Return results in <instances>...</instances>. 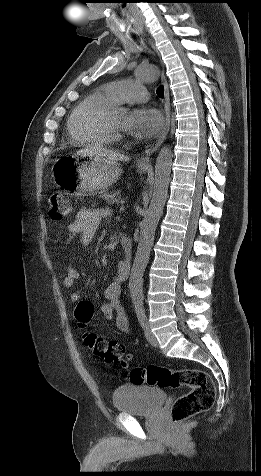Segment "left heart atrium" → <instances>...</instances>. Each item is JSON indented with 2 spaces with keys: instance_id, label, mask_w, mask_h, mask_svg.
I'll use <instances>...</instances> for the list:
<instances>
[{
  "instance_id": "1",
  "label": "left heart atrium",
  "mask_w": 261,
  "mask_h": 476,
  "mask_svg": "<svg viewBox=\"0 0 261 476\" xmlns=\"http://www.w3.org/2000/svg\"><path fill=\"white\" fill-rule=\"evenodd\" d=\"M162 123L163 118L158 110L141 107L129 113L124 129L138 137H151L159 131Z\"/></svg>"
}]
</instances>
